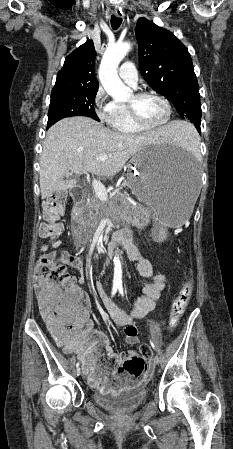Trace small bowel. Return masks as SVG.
<instances>
[{
  "label": "small bowel",
  "instance_id": "obj_1",
  "mask_svg": "<svg viewBox=\"0 0 233 449\" xmlns=\"http://www.w3.org/2000/svg\"><path fill=\"white\" fill-rule=\"evenodd\" d=\"M62 230L63 227L60 225L58 235L62 233ZM130 255L137 260L138 273L143 277L151 278V281L144 285L142 296L133 301V309L130 315L119 310L110 302L108 305L114 323L122 329L125 343L133 346L139 342L138 328L133 323V319L144 317L154 309L155 302L159 299L161 292L165 287V277L161 274H154L151 264L146 259L138 257L135 252ZM59 262L62 265L73 267L81 273L83 272V263L81 259L75 255L64 254ZM78 283H84L83 275L79 277ZM96 290L99 295H104V287L100 284H96ZM92 335L95 337L96 342L94 344H88ZM92 335L88 336L87 334H83L68 338L63 342L57 341L58 346L61 347L65 353H75L78 356L91 386L106 390L102 394L106 399L112 398L113 395L119 399L123 395L119 390H135V384L144 383L143 375H108L107 367L100 363V349H103V354L106 358L114 359L116 362L121 361L122 355L113 350L110 341L105 336L100 333H93ZM117 372L118 368L114 370L113 374H116ZM110 390L118 391L113 394Z\"/></svg>",
  "mask_w": 233,
  "mask_h": 449
}]
</instances>
